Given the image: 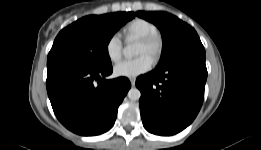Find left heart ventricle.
Listing matches in <instances>:
<instances>
[{"label": "left heart ventricle", "instance_id": "obj_1", "mask_svg": "<svg viewBox=\"0 0 261 150\" xmlns=\"http://www.w3.org/2000/svg\"><path fill=\"white\" fill-rule=\"evenodd\" d=\"M144 54L149 55L148 50H147L145 45H143L142 43H139L138 47H137L136 55L141 56V55H144Z\"/></svg>", "mask_w": 261, "mask_h": 150}]
</instances>
